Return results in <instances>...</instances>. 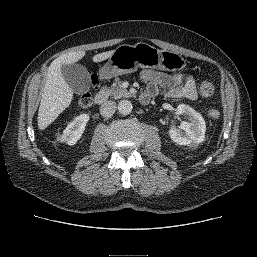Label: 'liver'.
<instances>
[{
    "label": "liver",
    "instance_id": "1",
    "mask_svg": "<svg viewBox=\"0 0 257 257\" xmlns=\"http://www.w3.org/2000/svg\"><path fill=\"white\" fill-rule=\"evenodd\" d=\"M114 51L94 55L92 60L96 63L104 61L110 58ZM84 56L85 51L63 54L49 66L38 111V128L40 130L47 128L71 104L73 99V91L61 72L62 64H74Z\"/></svg>",
    "mask_w": 257,
    "mask_h": 257
}]
</instances>
